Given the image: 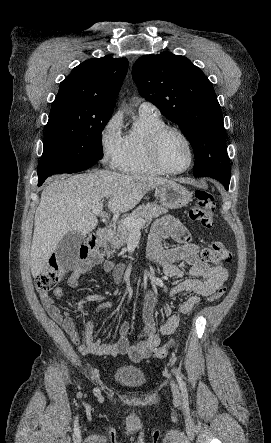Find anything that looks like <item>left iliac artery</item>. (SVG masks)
I'll use <instances>...</instances> for the list:
<instances>
[{
	"mask_svg": "<svg viewBox=\"0 0 271 443\" xmlns=\"http://www.w3.org/2000/svg\"><path fill=\"white\" fill-rule=\"evenodd\" d=\"M174 373H175V375H176V378H177V381H178V384H179V388H180V390H181V392H182V395H183V396H187V388H186V384H185V382L183 381V379H182L180 373H179L178 371H176V370L174 371Z\"/></svg>",
	"mask_w": 271,
	"mask_h": 443,
	"instance_id": "1",
	"label": "left iliac artery"
}]
</instances>
